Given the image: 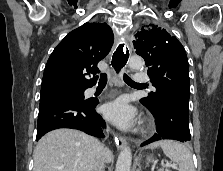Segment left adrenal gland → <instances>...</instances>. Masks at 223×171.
<instances>
[{"label": "left adrenal gland", "instance_id": "1", "mask_svg": "<svg viewBox=\"0 0 223 171\" xmlns=\"http://www.w3.org/2000/svg\"><path fill=\"white\" fill-rule=\"evenodd\" d=\"M140 169H141V166H139V168H138V170H137V171H140Z\"/></svg>", "mask_w": 223, "mask_h": 171}]
</instances>
